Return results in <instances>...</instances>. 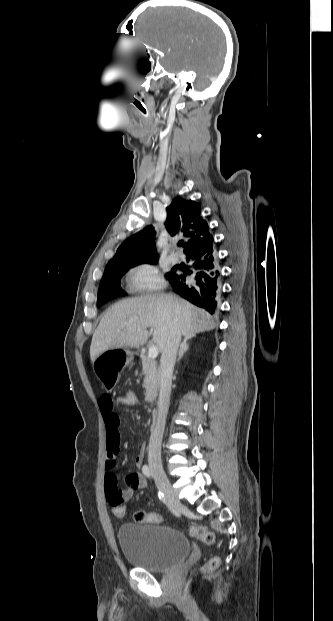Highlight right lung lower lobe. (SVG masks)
<instances>
[{
  "label": "right lung lower lobe",
  "mask_w": 333,
  "mask_h": 621,
  "mask_svg": "<svg viewBox=\"0 0 333 621\" xmlns=\"http://www.w3.org/2000/svg\"><path fill=\"white\" fill-rule=\"evenodd\" d=\"M186 257L192 261V269L181 268L182 274L171 273L167 280L175 293L213 314L220 296V271L214 246L195 250Z\"/></svg>",
  "instance_id": "obj_1"
}]
</instances>
